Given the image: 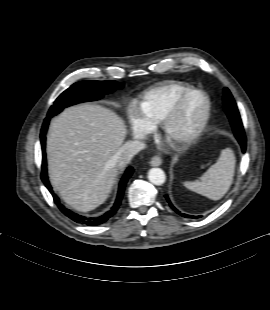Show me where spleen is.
<instances>
[{"instance_id": "obj_1", "label": "spleen", "mask_w": 270, "mask_h": 310, "mask_svg": "<svg viewBox=\"0 0 270 310\" xmlns=\"http://www.w3.org/2000/svg\"><path fill=\"white\" fill-rule=\"evenodd\" d=\"M235 155L230 148L220 152V156L201 177L200 181H186L184 186L211 200H220L229 190L235 173Z\"/></svg>"}]
</instances>
